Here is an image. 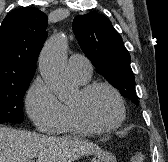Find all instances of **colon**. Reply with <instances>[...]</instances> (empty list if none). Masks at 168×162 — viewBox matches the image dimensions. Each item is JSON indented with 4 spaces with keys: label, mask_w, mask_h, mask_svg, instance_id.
<instances>
[{
    "label": "colon",
    "mask_w": 168,
    "mask_h": 162,
    "mask_svg": "<svg viewBox=\"0 0 168 162\" xmlns=\"http://www.w3.org/2000/svg\"><path fill=\"white\" fill-rule=\"evenodd\" d=\"M131 162H146L145 156L141 153H136L131 157Z\"/></svg>",
    "instance_id": "obj_1"
}]
</instances>
